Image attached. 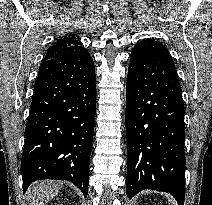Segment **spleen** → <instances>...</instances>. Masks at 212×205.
Wrapping results in <instances>:
<instances>
[{"label": "spleen", "mask_w": 212, "mask_h": 205, "mask_svg": "<svg viewBox=\"0 0 212 205\" xmlns=\"http://www.w3.org/2000/svg\"><path fill=\"white\" fill-rule=\"evenodd\" d=\"M172 205H177V204H175L174 202H172Z\"/></svg>", "instance_id": "3e777b00"}]
</instances>
